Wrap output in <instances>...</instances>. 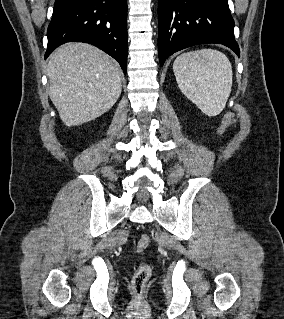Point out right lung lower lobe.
<instances>
[{
  "label": "right lung lower lobe",
  "mask_w": 284,
  "mask_h": 319,
  "mask_svg": "<svg viewBox=\"0 0 284 319\" xmlns=\"http://www.w3.org/2000/svg\"><path fill=\"white\" fill-rule=\"evenodd\" d=\"M45 59L66 42L92 44L127 70V0H55Z\"/></svg>",
  "instance_id": "1"
}]
</instances>
